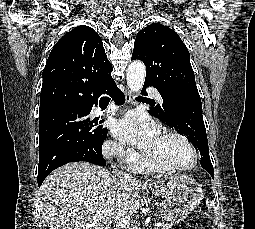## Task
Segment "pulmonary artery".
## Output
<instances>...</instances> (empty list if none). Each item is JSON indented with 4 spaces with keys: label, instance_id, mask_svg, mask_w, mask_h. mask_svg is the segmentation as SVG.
I'll use <instances>...</instances> for the list:
<instances>
[{
    "label": "pulmonary artery",
    "instance_id": "pulmonary-artery-1",
    "mask_svg": "<svg viewBox=\"0 0 255 229\" xmlns=\"http://www.w3.org/2000/svg\"><path fill=\"white\" fill-rule=\"evenodd\" d=\"M148 91H149L150 94H152L156 98V100L158 102L162 103V98H161L160 94L158 93L157 89L149 88Z\"/></svg>",
    "mask_w": 255,
    "mask_h": 229
}]
</instances>
